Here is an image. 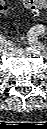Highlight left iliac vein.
I'll list each match as a JSON object with an SVG mask.
<instances>
[{
	"instance_id": "4c4485c4",
	"label": "left iliac vein",
	"mask_w": 47,
	"mask_h": 129,
	"mask_svg": "<svg viewBox=\"0 0 47 129\" xmlns=\"http://www.w3.org/2000/svg\"><path fill=\"white\" fill-rule=\"evenodd\" d=\"M30 46L36 50H38L43 57H46L45 47L38 41L35 36L29 38Z\"/></svg>"
}]
</instances>
